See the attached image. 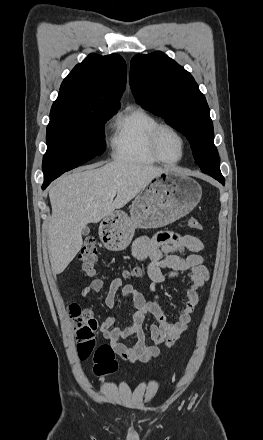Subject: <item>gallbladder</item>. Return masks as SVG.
Segmentation results:
<instances>
[{
	"label": "gallbladder",
	"mask_w": 263,
	"mask_h": 440,
	"mask_svg": "<svg viewBox=\"0 0 263 440\" xmlns=\"http://www.w3.org/2000/svg\"><path fill=\"white\" fill-rule=\"evenodd\" d=\"M89 232H90V229H89V227H87V226L84 227L83 230H82V234L85 235V236L88 235Z\"/></svg>",
	"instance_id": "gallbladder-1"
}]
</instances>
